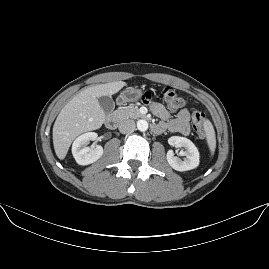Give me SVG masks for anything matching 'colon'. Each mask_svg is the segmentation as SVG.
<instances>
[{"label": "colon", "mask_w": 269, "mask_h": 269, "mask_svg": "<svg viewBox=\"0 0 269 269\" xmlns=\"http://www.w3.org/2000/svg\"><path fill=\"white\" fill-rule=\"evenodd\" d=\"M164 105L171 111L180 110L184 105V99L175 91L169 89L160 90ZM143 100L148 101L149 97L145 94ZM205 116L200 110H193L191 113V125L195 133L202 138L204 136Z\"/></svg>", "instance_id": "1"}]
</instances>
